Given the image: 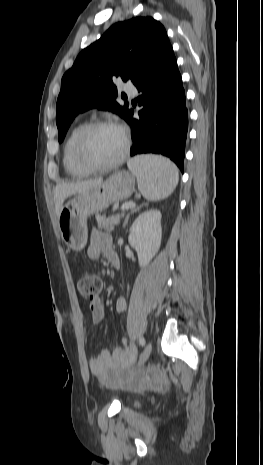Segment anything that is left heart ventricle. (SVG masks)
Instances as JSON below:
<instances>
[{
  "label": "left heart ventricle",
  "mask_w": 263,
  "mask_h": 465,
  "mask_svg": "<svg viewBox=\"0 0 263 465\" xmlns=\"http://www.w3.org/2000/svg\"><path fill=\"white\" fill-rule=\"evenodd\" d=\"M124 144L122 132L113 127L95 130L89 137L87 153L98 164H106L119 156Z\"/></svg>",
  "instance_id": "b2bd125f"
}]
</instances>
